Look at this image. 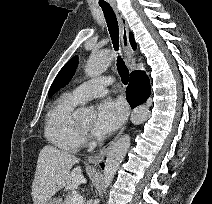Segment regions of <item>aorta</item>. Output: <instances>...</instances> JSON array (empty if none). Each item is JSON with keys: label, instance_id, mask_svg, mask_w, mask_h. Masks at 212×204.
Returning a JSON list of instances; mask_svg holds the SVG:
<instances>
[{"label": "aorta", "instance_id": "762f6f07", "mask_svg": "<svg viewBox=\"0 0 212 204\" xmlns=\"http://www.w3.org/2000/svg\"><path fill=\"white\" fill-rule=\"evenodd\" d=\"M114 53L110 50H101L90 55L85 65V74L88 77H97L101 75L111 64ZM94 112L91 108L82 107L79 109V116L81 118H91ZM149 117V110L146 106L136 107L131 114V122L133 124H141ZM130 147V136L123 135L110 149L104 168V183L108 187L112 182L117 169L119 168L123 158L125 157Z\"/></svg>", "mask_w": 212, "mask_h": 204}]
</instances>
